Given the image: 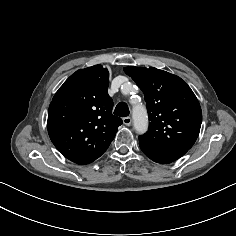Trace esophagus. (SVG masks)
Returning a JSON list of instances; mask_svg holds the SVG:
<instances>
[{"instance_id":"1","label":"esophagus","mask_w":236,"mask_h":236,"mask_svg":"<svg viewBox=\"0 0 236 236\" xmlns=\"http://www.w3.org/2000/svg\"><path fill=\"white\" fill-rule=\"evenodd\" d=\"M123 123H124L126 126H130L131 123H132L131 117H124V118H123Z\"/></svg>"}]
</instances>
